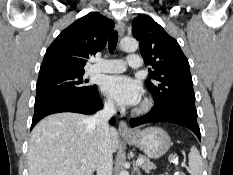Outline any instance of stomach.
<instances>
[{
    "label": "stomach",
    "instance_id": "stomach-1",
    "mask_svg": "<svg viewBox=\"0 0 233 175\" xmlns=\"http://www.w3.org/2000/svg\"><path fill=\"white\" fill-rule=\"evenodd\" d=\"M123 138L153 159L162 157L171 146L170 136L159 127L136 130L133 136H123Z\"/></svg>",
    "mask_w": 233,
    "mask_h": 175
}]
</instances>
